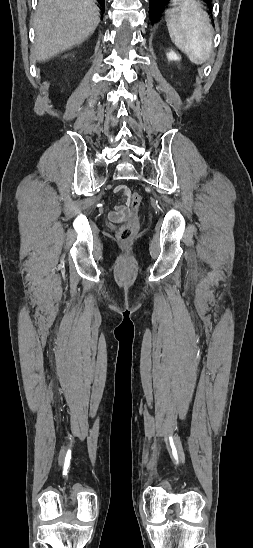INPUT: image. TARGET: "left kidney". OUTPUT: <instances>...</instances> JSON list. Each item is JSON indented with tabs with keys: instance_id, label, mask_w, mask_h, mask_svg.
Instances as JSON below:
<instances>
[{
	"instance_id": "left-kidney-1",
	"label": "left kidney",
	"mask_w": 253,
	"mask_h": 548,
	"mask_svg": "<svg viewBox=\"0 0 253 548\" xmlns=\"http://www.w3.org/2000/svg\"><path fill=\"white\" fill-rule=\"evenodd\" d=\"M167 58L170 61H179L180 60L179 55H177L174 51H170L169 53H167Z\"/></svg>"
}]
</instances>
